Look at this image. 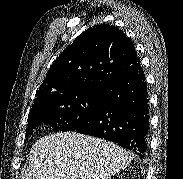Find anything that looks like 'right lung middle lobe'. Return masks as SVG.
<instances>
[{"label":"right lung middle lobe","instance_id":"dd1d6c3e","mask_svg":"<svg viewBox=\"0 0 183 179\" xmlns=\"http://www.w3.org/2000/svg\"><path fill=\"white\" fill-rule=\"evenodd\" d=\"M100 94L59 97L33 106L29 112L26 135L41 124H50L53 131H75L95 115Z\"/></svg>","mask_w":183,"mask_h":179}]
</instances>
